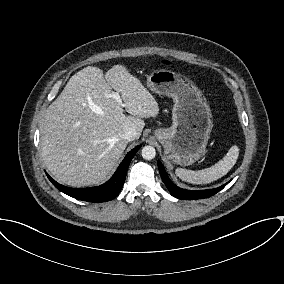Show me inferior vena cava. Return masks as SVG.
I'll return each mask as SVG.
<instances>
[{
	"instance_id": "1",
	"label": "inferior vena cava",
	"mask_w": 284,
	"mask_h": 284,
	"mask_svg": "<svg viewBox=\"0 0 284 284\" xmlns=\"http://www.w3.org/2000/svg\"><path fill=\"white\" fill-rule=\"evenodd\" d=\"M122 137L126 141H133L136 138V132L134 129L128 128L124 131Z\"/></svg>"
}]
</instances>
